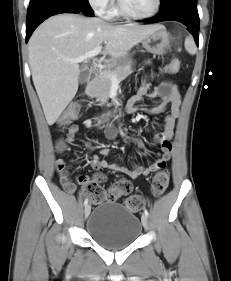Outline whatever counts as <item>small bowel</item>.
I'll list each match as a JSON object with an SVG mask.
<instances>
[{"mask_svg": "<svg viewBox=\"0 0 231 281\" xmlns=\"http://www.w3.org/2000/svg\"><path fill=\"white\" fill-rule=\"evenodd\" d=\"M147 65L150 61L145 62ZM146 82L141 86L138 93L131 99L134 103L136 101H142L149 99L157 105L158 110L170 109L169 113L165 116L162 131L158 132L154 136V140L160 145L161 156L147 166H141L139 164L133 163L131 169L113 164L107 160L99 157L98 155H93L89 161L90 166L94 170L108 169L117 173H121L129 178L135 179L140 176H147L153 172H156L164 168L167 162L172 157L173 152V136L176 119L179 116L181 96L177 86L170 80L163 79L157 74H149L146 76ZM151 80L157 81V86L153 90H149V84ZM83 126L87 129L95 126L100 127L101 123L99 121L92 122L91 120H86L83 122ZM78 131L77 125H72L66 135V141L72 146H78L75 140V134ZM105 136L108 139H115L117 137V131L112 126L105 127ZM87 149H92L91 143L87 142L85 144ZM109 149L104 148L101 150L102 156H107ZM56 171L59 175L60 183L63 189L68 193H74L76 186L69 176V166L66 164L65 160L59 158L56 160ZM76 180L80 185H87L90 182V177L87 175L79 174L76 176Z\"/></svg>", "mask_w": 231, "mask_h": 281, "instance_id": "1", "label": "small bowel"}]
</instances>
